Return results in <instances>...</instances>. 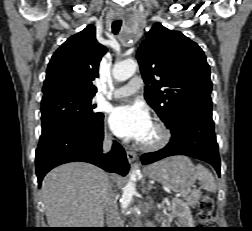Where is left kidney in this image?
Wrapping results in <instances>:
<instances>
[{
    "label": "left kidney",
    "instance_id": "5707ae66",
    "mask_svg": "<svg viewBox=\"0 0 252 231\" xmlns=\"http://www.w3.org/2000/svg\"><path fill=\"white\" fill-rule=\"evenodd\" d=\"M172 214L177 217L179 228H193L194 222L187 203L174 198L172 200Z\"/></svg>",
    "mask_w": 252,
    "mask_h": 231
}]
</instances>
